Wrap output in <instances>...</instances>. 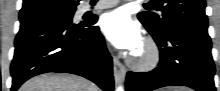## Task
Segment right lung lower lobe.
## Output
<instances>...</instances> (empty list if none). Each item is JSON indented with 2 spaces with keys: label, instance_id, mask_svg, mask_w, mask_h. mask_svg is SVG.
<instances>
[{
  "label": "right lung lower lobe",
  "instance_id": "obj_1",
  "mask_svg": "<svg viewBox=\"0 0 220 91\" xmlns=\"http://www.w3.org/2000/svg\"><path fill=\"white\" fill-rule=\"evenodd\" d=\"M20 23L11 64V91L47 72L80 75L104 91H113L112 59L95 22L72 24L65 17L39 15Z\"/></svg>",
  "mask_w": 220,
  "mask_h": 91
}]
</instances>
